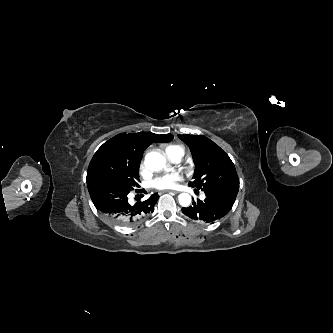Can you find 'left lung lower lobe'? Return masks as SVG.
<instances>
[{
    "mask_svg": "<svg viewBox=\"0 0 333 333\" xmlns=\"http://www.w3.org/2000/svg\"><path fill=\"white\" fill-rule=\"evenodd\" d=\"M205 194L204 201L197 200L192 206L182 208V212L192 220L213 224L231 210L236 199L233 194Z\"/></svg>",
    "mask_w": 333,
    "mask_h": 333,
    "instance_id": "1",
    "label": "left lung lower lobe"
}]
</instances>
